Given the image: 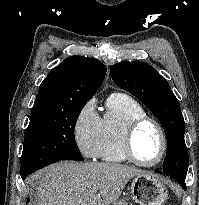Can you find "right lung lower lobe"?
I'll return each instance as SVG.
<instances>
[{
    "label": "right lung lower lobe",
    "mask_w": 199,
    "mask_h": 205,
    "mask_svg": "<svg viewBox=\"0 0 199 205\" xmlns=\"http://www.w3.org/2000/svg\"><path fill=\"white\" fill-rule=\"evenodd\" d=\"M55 162H57V161H55ZM55 162H51V163H48V164H46L45 166H47V165H49V164H52V163H55ZM45 166H43V167H45ZM43 167H41V168H43ZM40 169V168H39ZM38 170V169H37ZM36 171V170H35ZM34 171V172H35ZM31 173H33V172H31ZM31 173H29V174H31ZM29 174H26V175H21V177H22V179H25Z\"/></svg>",
    "instance_id": "98d812e1"
}]
</instances>
